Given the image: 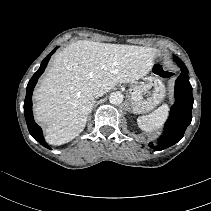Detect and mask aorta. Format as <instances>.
I'll return each instance as SVG.
<instances>
[{"instance_id": "1", "label": "aorta", "mask_w": 211, "mask_h": 211, "mask_svg": "<svg viewBox=\"0 0 211 211\" xmlns=\"http://www.w3.org/2000/svg\"><path fill=\"white\" fill-rule=\"evenodd\" d=\"M109 101L111 104L114 105L121 104L123 101V95L118 92L111 93V95L109 96Z\"/></svg>"}]
</instances>
